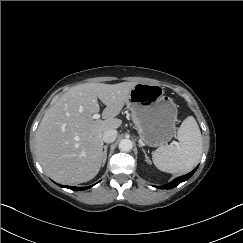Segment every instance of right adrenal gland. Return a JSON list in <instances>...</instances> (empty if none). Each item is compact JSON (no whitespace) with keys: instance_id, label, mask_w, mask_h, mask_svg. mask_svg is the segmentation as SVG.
<instances>
[{"instance_id":"1","label":"right adrenal gland","mask_w":243,"mask_h":243,"mask_svg":"<svg viewBox=\"0 0 243 243\" xmlns=\"http://www.w3.org/2000/svg\"><path fill=\"white\" fill-rule=\"evenodd\" d=\"M107 148H108V145H105L104 146V151H103V161H102V167L105 165L106 163V159H107Z\"/></svg>"}]
</instances>
